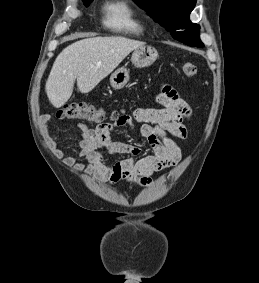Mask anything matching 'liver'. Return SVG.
Here are the masks:
<instances>
[{
  "mask_svg": "<svg viewBox=\"0 0 259 283\" xmlns=\"http://www.w3.org/2000/svg\"><path fill=\"white\" fill-rule=\"evenodd\" d=\"M144 42L122 36L91 37L77 41L57 56L46 82L50 103L59 108L71 97L75 80L88 93L107 77L125 57Z\"/></svg>",
  "mask_w": 259,
  "mask_h": 283,
  "instance_id": "obj_1",
  "label": "liver"
}]
</instances>
